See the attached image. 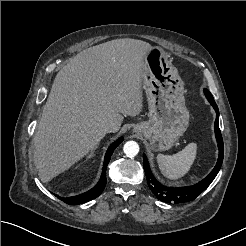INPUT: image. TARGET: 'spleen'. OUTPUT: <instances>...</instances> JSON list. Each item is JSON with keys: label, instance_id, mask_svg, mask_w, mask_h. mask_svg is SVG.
Listing matches in <instances>:
<instances>
[{"label": "spleen", "instance_id": "obj_1", "mask_svg": "<svg viewBox=\"0 0 246 246\" xmlns=\"http://www.w3.org/2000/svg\"><path fill=\"white\" fill-rule=\"evenodd\" d=\"M197 148L196 143H190L174 155L158 154L156 159L161 173L171 180L184 177L196 159Z\"/></svg>", "mask_w": 246, "mask_h": 246}]
</instances>
